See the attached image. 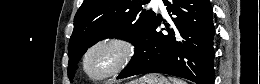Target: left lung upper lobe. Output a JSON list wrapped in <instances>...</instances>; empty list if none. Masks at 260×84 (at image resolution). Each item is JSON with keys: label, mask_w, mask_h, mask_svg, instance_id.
Instances as JSON below:
<instances>
[{"label": "left lung upper lobe", "mask_w": 260, "mask_h": 84, "mask_svg": "<svg viewBox=\"0 0 260 84\" xmlns=\"http://www.w3.org/2000/svg\"><path fill=\"white\" fill-rule=\"evenodd\" d=\"M146 0H84L74 18L68 51V76L73 78L76 64L89 47L105 38H119L135 46L130 64L138 59L155 13L144 10Z\"/></svg>", "instance_id": "left-lung-upper-lobe-1"}]
</instances>
